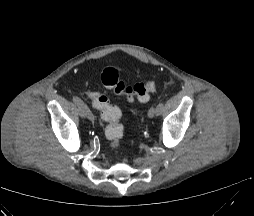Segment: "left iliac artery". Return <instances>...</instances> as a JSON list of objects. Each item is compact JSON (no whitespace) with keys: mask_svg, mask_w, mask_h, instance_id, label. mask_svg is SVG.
Wrapping results in <instances>:
<instances>
[{"mask_svg":"<svg viewBox=\"0 0 254 216\" xmlns=\"http://www.w3.org/2000/svg\"><path fill=\"white\" fill-rule=\"evenodd\" d=\"M163 110H164V101L161 100L156 105V114L160 115L163 112Z\"/></svg>","mask_w":254,"mask_h":216,"instance_id":"obj_1","label":"left iliac artery"}]
</instances>
